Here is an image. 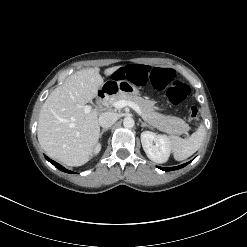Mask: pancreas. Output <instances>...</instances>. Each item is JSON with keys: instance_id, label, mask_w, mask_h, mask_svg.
<instances>
[{"instance_id": "cf45deb5", "label": "pancreas", "mask_w": 247, "mask_h": 247, "mask_svg": "<svg viewBox=\"0 0 247 247\" xmlns=\"http://www.w3.org/2000/svg\"><path fill=\"white\" fill-rule=\"evenodd\" d=\"M119 100L131 101L137 104L141 109L144 120L162 132L173 135H180L189 130V125L183 119L156 112L154 101L146 100L136 95L119 93L110 97L108 102L113 104Z\"/></svg>"}]
</instances>
